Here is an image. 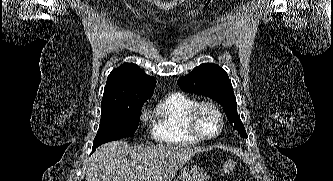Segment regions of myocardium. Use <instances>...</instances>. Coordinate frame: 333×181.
Returning <instances> with one entry per match:
<instances>
[{
    "instance_id": "1",
    "label": "myocardium",
    "mask_w": 333,
    "mask_h": 181,
    "mask_svg": "<svg viewBox=\"0 0 333 181\" xmlns=\"http://www.w3.org/2000/svg\"><path fill=\"white\" fill-rule=\"evenodd\" d=\"M205 108L212 110L216 114V116L218 117V120H219L218 131L216 132V134L211 135V136L205 135L200 130L199 125H198V116H199L200 112ZM187 122H188V127H189V130L191 131V133L201 140H212V139L217 138L222 133L223 127H224V117H223L221 110L214 103L207 102V101L196 103V105L188 113Z\"/></svg>"
}]
</instances>
